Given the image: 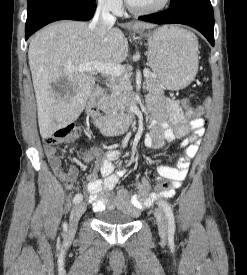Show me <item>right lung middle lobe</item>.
<instances>
[{
	"mask_svg": "<svg viewBox=\"0 0 247 275\" xmlns=\"http://www.w3.org/2000/svg\"><path fill=\"white\" fill-rule=\"evenodd\" d=\"M36 1H39V0H28V4L36 2ZM80 1L95 2L96 0H80Z\"/></svg>",
	"mask_w": 247,
	"mask_h": 275,
	"instance_id": "1",
	"label": "right lung middle lobe"
}]
</instances>
